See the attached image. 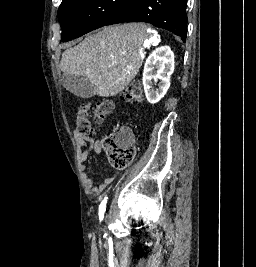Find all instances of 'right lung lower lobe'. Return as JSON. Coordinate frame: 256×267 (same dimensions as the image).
<instances>
[{
	"instance_id": "right-lung-lower-lobe-1",
	"label": "right lung lower lobe",
	"mask_w": 256,
	"mask_h": 267,
	"mask_svg": "<svg viewBox=\"0 0 256 267\" xmlns=\"http://www.w3.org/2000/svg\"><path fill=\"white\" fill-rule=\"evenodd\" d=\"M187 0H138L132 11L116 17L106 25L121 22H147L171 31L185 42L187 34Z\"/></svg>"
}]
</instances>
